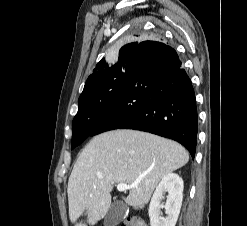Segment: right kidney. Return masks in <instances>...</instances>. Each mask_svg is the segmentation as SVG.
I'll return each mask as SVG.
<instances>
[{
  "mask_svg": "<svg viewBox=\"0 0 247 226\" xmlns=\"http://www.w3.org/2000/svg\"><path fill=\"white\" fill-rule=\"evenodd\" d=\"M183 180L175 174L165 175L152 196L149 205V217L151 226H175L183 200ZM168 193L167 201L162 203L164 194ZM165 209L166 217L162 216L161 209Z\"/></svg>",
  "mask_w": 247,
  "mask_h": 226,
  "instance_id": "1",
  "label": "right kidney"
}]
</instances>
